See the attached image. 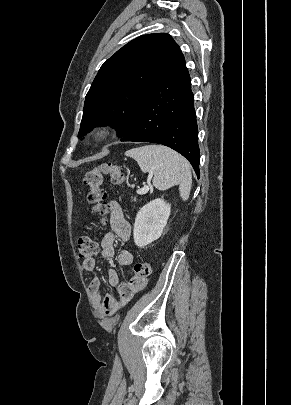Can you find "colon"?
Segmentation results:
<instances>
[{
  "label": "colon",
  "instance_id": "colon-1",
  "mask_svg": "<svg viewBox=\"0 0 291 405\" xmlns=\"http://www.w3.org/2000/svg\"><path fill=\"white\" fill-rule=\"evenodd\" d=\"M110 176L114 185H121L124 182V168L112 162H103L87 171L83 182L89 188L88 202L92 205L93 211L97 214L99 221L104 223V216L107 211L106 193L103 189L104 177ZM98 251L97 239L90 235L81 236L77 240V255L80 260L92 258ZM152 273V264L149 262L136 263L133 268L132 279L146 280Z\"/></svg>",
  "mask_w": 291,
  "mask_h": 405
}]
</instances>
